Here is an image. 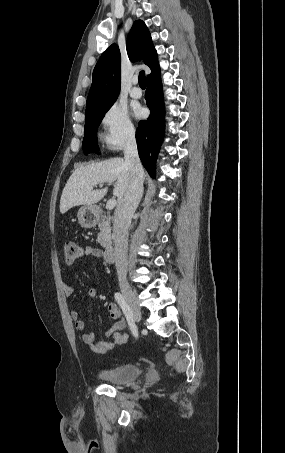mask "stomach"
<instances>
[{
	"label": "stomach",
	"instance_id": "1",
	"mask_svg": "<svg viewBox=\"0 0 285 453\" xmlns=\"http://www.w3.org/2000/svg\"><path fill=\"white\" fill-rule=\"evenodd\" d=\"M77 217L83 228H92L98 222V214L93 206H82L78 210Z\"/></svg>",
	"mask_w": 285,
	"mask_h": 453
}]
</instances>
